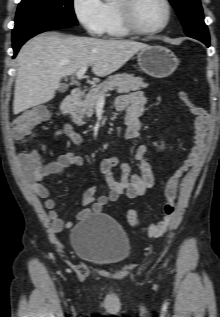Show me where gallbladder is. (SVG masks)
Instances as JSON below:
<instances>
[{
	"label": "gallbladder",
	"instance_id": "bac80fb5",
	"mask_svg": "<svg viewBox=\"0 0 220 317\" xmlns=\"http://www.w3.org/2000/svg\"><path fill=\"white\" fill-rule=\"evenodd\" d=\"M67 89H68V85L62 83V84L59 86L58 91H60V92H65V91H67Z\"/></svg>",
	"mask_w": 220,
	"mask_h": 317
}]
</instances>
